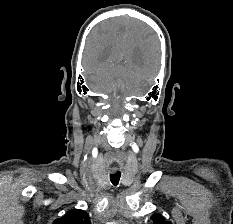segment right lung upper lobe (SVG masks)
Returning a JSON list of instances; mask_svg holds the SVG:
<instances>
[{
    "instance_id": "cb5924a9",
    "label": "right lung upper lobe",
    "mask_w": 233,
    "mask_h": 224,
    "mask_svg": "<svg viewBox=\"0 0 233 224\" xmlns=\"http://www.w3.org/2000/svg\"><path fill=\"white\" fill-rule=\"evenodd\" d=\"M53 224H91L86 211L74 209L68 211L63 217L56 219Z\"/></svg>"
}]
</instances>
